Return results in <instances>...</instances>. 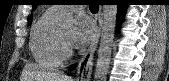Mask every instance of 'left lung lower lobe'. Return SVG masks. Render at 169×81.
<instances>
[{
	"instance_id": "1",
	"label": "left lung lower lobe",
	"mask_w": 169,
	"mask_h": 81,
	"mask_svg": "<svg viewBox=\"0 0 169 81\" xmlns=\"http://www.w3.org/2000/svg\"><path fill=\"white\" fill-rule=\"evenodd\" d=\"M117 6H118V8H117V12H118L117 13V19H118V22H120L124 13H125L126 5L119 4ZM71 68L73 69L74 66H72Z\"/></svg>"
}]
</instances>
